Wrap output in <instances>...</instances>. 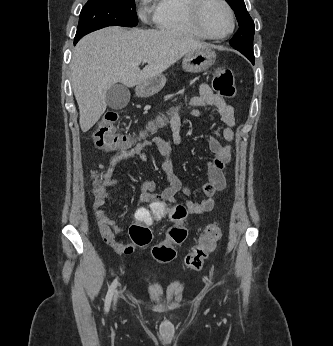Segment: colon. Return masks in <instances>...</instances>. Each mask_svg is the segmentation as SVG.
Returning <instances> with one entry per match:
<instances>
[{"instance_id": "1", "label": "colon", "mask_w": 333, "mask_h": 346, "mask_svg": "<svg viewBox=\"0 0 333 346\" xmlns=\"http://www.w3.org/2000/svg\"><path fill=\"white\" fill-rule=\"evenodd\" d=\"M213 88L220 97L233 98L236 93L235 80L232 71L229 68H219L213 79ZM119 116L116 112H108L99 122L93 135V141L96 147L106 151H125L135 146V140L128 134L116 132L115 124ZM160 122H156L153 128L159 127ZM95 194H102L105 190L103 179L95 176L93 181ZM164 211V203L156 202L152 212L146 209L137 211L138 222L129 228V236H133L137 246H146L152 240V231L150 223L153 218H159ZM186 216V210L178 205L171 211V219L175 222H181ZM187 237V230L177 225L168 231V238L152 247L153 258L160 263H169L176 256L175 246L181 245ZM221 238V227L214 223L209 225L204 233L199 237L197 244L186 256V265L192 270H199L208 255L216 248Z\"/></svg>"}]
</instances>
